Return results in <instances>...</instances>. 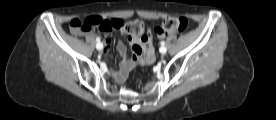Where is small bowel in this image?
Returning <instances> with one entry per match:
<instances>
[{
  "instance_id": "c3829d8e",
  "label": "small bowel",
  "mask_w": 276,
  "mask_h": 120,
  "mask_svg": "<svg viewBox=\"0 0 276 120\" xmlns=\"http://www.w3.org/2000/svg\"><path fill=\"white\" fill-rule=\"evenodd\" d=\"M110 22L113 25V30H116V24L120 23L122 21L113 19L110 20ZM108 31L107 33L111 32ZM152 38H153V33L149 32L147 39L145 40H139V39H129L130 44L132 45L133 53L131 57L128 59L127 58V52H126V47L122 42L118 43V52L123 58L120 68L116 74L117 78L122 79L124 78L128 72H130L135 66L138 64H149L152 62L154 58V49H153V43H152ZM105 45L108 47L111 46L112 44V39L111 37H106L105 40ZM139 48L141 49V53H138L135 49ZM143 52V55H142Z\"/></svg>"
}]
</instances>
